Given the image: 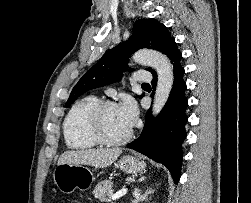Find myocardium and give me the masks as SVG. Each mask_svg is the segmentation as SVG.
Listing matches in <instances>:
<instances>
[{"mask_svg":"<svg viewBox=\"0 0 251 203\" xmlns=\"http://www.w3.org/2000/svg\"><path fill=\"white\" fill-rule=\"evenodd\" d=\"M113 106H117L114 101L105 100L98 102L90 111L87 120V130L89 134L100 144L116 146L129 141L132 137V130L120 138H110L103 130V115L104 112Z\"/></svg>","mask_w":251,"mask_h":203,"instance_id":"f54148a6","label":"myocardium"}]
</instances>
